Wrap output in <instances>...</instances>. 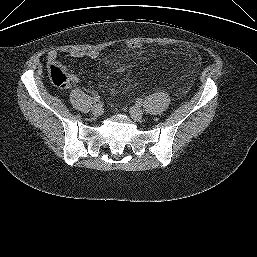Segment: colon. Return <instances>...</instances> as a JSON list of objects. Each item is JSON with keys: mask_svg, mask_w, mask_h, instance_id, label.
Returning a JSON list of instances; mask_svg holds the SVG:
<instances>
[{"mask_svg": "<svg viewBox=\"0 0 257 257\" xmlns=\"http://www.w3.org/2000/svg\"><path fill=\"white\" fill-rule=\"evenodd\" d=\"M127 47L131 50H141L143 44L139 42H128ZM49 77L51 82L58 87H65L69 84V75L57 64L50 65Z\"/></svg>", "mask_w": 257, "mask_h": 257, "instance_id": "5ec220e1", "label": "colon"}]
</instances>
